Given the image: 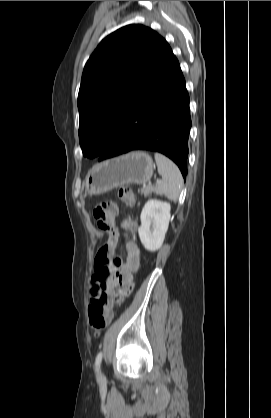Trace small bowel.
<instances>
[{
    "label": "small bowel",
    "instance_id": "obj_1",
    "mask_svg": "<svg viewBox=\"0 0 271 418\" xmlns=\"http://www.w3.org/2000/svg\"><path fill=\"white\" fill-rule=\"evenodd\" d=\"M115 238L111 239V243H113ZM140 265V252L138 247L134 243L128 244V262L126 268L110 277H108L103 283L102 286L104 287L107 293H113L114 289L117 285H121L123 289L120 292V298H124L128 296L133 288V277L132 273L138 269ZM99 284L94 279V285L92 288V293L96 289Z\"/></svg>",
    "mask_w": 271,
    "mask_h": 418
}]
</instances>
